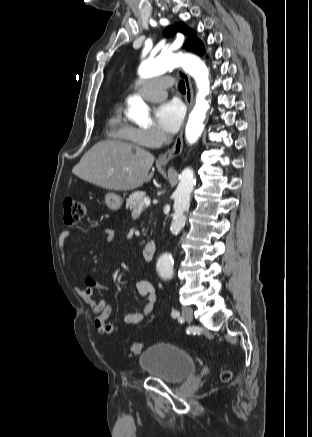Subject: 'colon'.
I'll list each match as a JSON object with an SVG mask.
<instances>
[{
	"instance_id": "obj_1",
	"label": "colon",
	"mask_w": 312,
	"mask_h": 437,
	"mask_svg": "<svg viewBox=\"0 0 312 437\" xmlns=\"http://www.w3.org/2000/svg\"><path fill=\"white\" fill-rule=\"evenodd\" d=\"M64 209V221L68 225H74L80 221V219L84 216L85 208L84 204L78 200L72 198H66L63 202ZM129 354L137 355L141 352V344L133 343L129 350ZM232 377L230 371L225 370L221 373V379L223 381H229Z\"/></svg>"
}]
</instances>
